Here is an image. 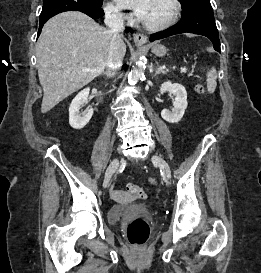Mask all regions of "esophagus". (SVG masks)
<instances>
[{
	"label": "esophagus",
	"mask_w": 261,
	"mask_h": 273,
	"mask_svg": "<svg viewBox=\"0 0 261 273\" xmlns=\"http://www.w3.org/2000/svg\"><path fill=\"white\" fill-rule=\"evenodd\" d=\"M133 40L136 45H144L147 42V36L144 34L137 33L134 34Z\"/></svg>",
	"instance_id": "esophagus-1"
}]
</instances>
